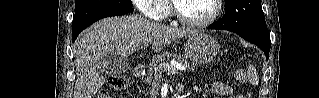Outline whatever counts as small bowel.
Returning a JSON list of instances; mask_svg holds the SVG:
<instances>
[{"mask_svg":"<svg viewBox=\"0 0 319 98\" xmlns=\"http://www.w3.org/2000/svg\"><path fill=\"white\" fill-rule=\"evenodd\" d=\"M179 88H182V85H178L177 89L179 90ZM200 88L196 87V91H199ZM210 90L217 95L218 97H226V96H230L233 93V88L224 83V82H220V81H215L210 85Z\"/></svg>","mask_w":319,"mask_h":98,"instance_id":"small-bowel-1","label":"small bowel"}]
</instances>
